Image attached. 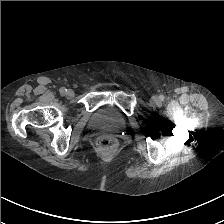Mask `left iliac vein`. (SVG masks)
<instances>
[{
    "mask_svg": "<svg viewBox=\"0 0 224 224\" xmlns=\"http://www.w3.org/2000/svg\"><path fill=\"white\" fill-rule=\"evenodd\" d=\"M159 97L158 96H153L150 100L151 104L156 105L159 103Z\"/></svg>",
    "mask_w": 224,
    "mask_h": 224,
    "instance_id": "left-iliac-vein-1",
    "label": "left iliac vein"
}]
</instances>
